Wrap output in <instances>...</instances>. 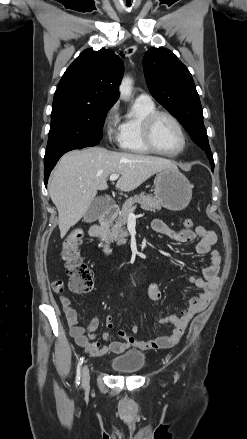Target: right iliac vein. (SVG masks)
Here are the masks:
<instances>
[{
	"label": "right iliac vein",
	"mask_w": 247,
	"mask_h": 439,
	"mask_svg": "<svg viewBox=\"0 0 247 439\" xmlns=\"http://www.w3.org/2000/svg\"><path fill=\"white\" fill-rule=\"evenodd\" d=\"M90 380V374H89V369L88 366H84L83 370H82V384L83 386L88 385Z\"/></svg>",
	"instance_id": "1"
}]
</instances>
